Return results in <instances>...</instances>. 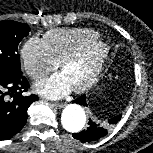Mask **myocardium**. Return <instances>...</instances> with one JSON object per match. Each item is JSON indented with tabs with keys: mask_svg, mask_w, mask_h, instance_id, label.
<instances>
[{
	"mask_svg": "<svg viewBox=\"0 0 153 153\" xmlns=\"http://www.w3.org/2000/svg\"><path fill=\"white\" fill-rule=\"evenodd\" d=\"M109 53V43L103 39L96 38L62 60L60 68L64 71L69 65L80 62L88 57H94V63L87 78L79 85L73 87L75 92H84L97 81L108 59Z\"/></svg>",
	"mask_w": 153,
	"mask_h": 153,
	"instance_id": "1",
	"label": "myocardium"
}]
</instances>
